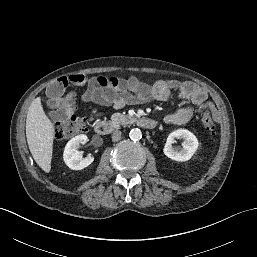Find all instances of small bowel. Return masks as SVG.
<instances>
[{
  "label": "small bowel",
  "mask_w": 257,
  "mask_h": 257,
  "mask_svg": "<svg viewBox=\"0 0 257 257\" xmlns=\"http://www.w3.org/2000/svg\"><path fill=\"white\" fill-rule=\"evenodd\" d=\"M175 95L179 99L190 101V105L179 108L174 113L164 117L168 124H185L202 109L206 100V92L199 85L191 81L158 80L147 83L137 77L119 79L117 77L95 76L90 79L86 91L82 95L85 103H94L99 106H109L120 109L128 104H141L150 100L166 101ZM48 105L54 109L58 100L47 91ZM95 116L101 112L95 111Z\"/></svg>",
  "instance_id": "small-bowel-1"
}]
</instances>
